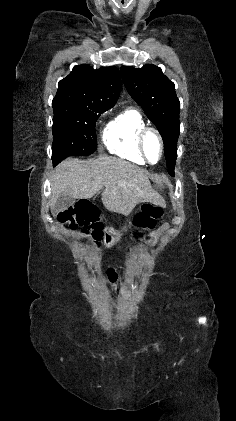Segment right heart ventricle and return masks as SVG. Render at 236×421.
Segmentation results:
<instances>
[{"instance_id":"right-heart-ventricle-1","label":"right heart ventricle","mask_w":236,"mask_h":421,"mask_svg":"<svg viewBox=\"0 0 236 421\" xmlns=\"http://www.w3.org/2000/svg\"><path fill=\"white\" fill-rule=\"evenodd\" d=\"M144 127L146 123L141 112L133 107L127 108L106 125L102 134L103 144L109 153L144 165L146 162L137 143L138 134Z\"/></svg>"}]
</instances>
